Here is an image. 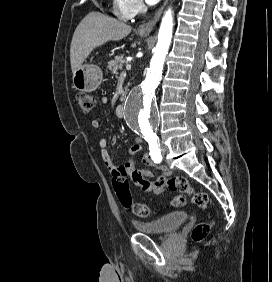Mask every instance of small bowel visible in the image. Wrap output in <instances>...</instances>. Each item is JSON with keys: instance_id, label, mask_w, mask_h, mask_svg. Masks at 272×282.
<instances>
[{"instance_id": "1", "label": "small bowel", "mask_w": 272, "mask_h": 282, "mask_svg": "<svg viewBox=\"0 0 272 282\" xmlns=\"http://www.w3.org/2000/svg\"><path fill=\"white\" fill-rule=\"evenodd\" d=\"M101 102L103 104H106L107 103V99L105 97H103L101 99ZM91 126L93 128H98L100 126V119L98 117L97 118H93L92 121H91ZM110 143L112 145H116L117 144V139L115 137L112 138ZM99 145H100V148H101L102 159H103L105 165L107 167L113 169L114 165H115V159L109 153V151L107 149V147H108V140L106 138H102L100 140V142H99ZM143 149H144V142H143V140L141 138H138V137L135 138L134 144L130 148L129 159L125 163V167L128 168L129 173L131 172V169H132V167L134 165L136 155L139 152H141ZM142 162L145 165H147V166H154V167H156L164 175H169L170 174V170L166 166H159V165L155 164L152 161L149 153H147V152L143 154ZM141 173L144 176H146V177H148L150 179L149 183L146 186L140 187L142 190H151V191H153L156 194H160V193H162L165 190L166 186L164 184H160V183L156 182L155 179L152 178L153 173H152L151 170L145 169Z\"/></svg>"}]
</instances>
